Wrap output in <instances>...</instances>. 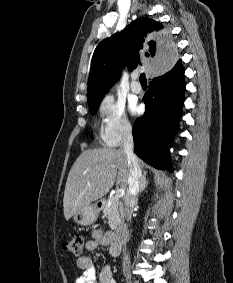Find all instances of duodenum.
<instances>
[{"mask_svg": "<svg viewBox=\"0 0 233 283\" xmlns=\"http://www.w3.org/2000/svg\"><path fill=\"white\" fill-rule=\"evenodd\" d=\"M128 238V230L126 227L121 226L117 229L114 236V246L118 252L121 251L122 245Z\"/></svg>", "mask_w": 233, "mask_h": 283, "instance_id": "duodenum-1", "label": "duodenum"}]
</instances>
